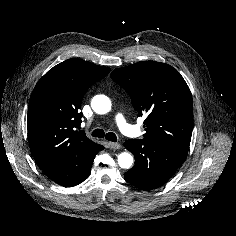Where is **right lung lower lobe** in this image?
I'll return each mask as SVG.
<instances>
[{"instance_id": "right-lung-lower-lobe-1", "label": "right lung lower lobe", "mask_w": 236, "mask_h": 236, "mask_svg": "<svg viewBox=\"0 0 236 236\" xmlns=\"http://www.w3.org/2000/svg\"><path fill=\"white\" fill-rule=\"evenodd\" d=\"M103 148L98 145L92 152L78 153L41 169L57 184L63 187L75 186L88 177L96 154Z\"/></svg>"}]
</instances>
